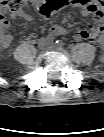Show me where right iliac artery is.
<instances>
[{
    "label": "right iliac artery",
    "mask_w": 104,
    "mask_h": 137,
    "mask_svg": "<svg viewBox=\"0 0 104 137\" xmlns=\"http://www.w3.org/2000/svg\"><path fill=\"white\" fill-rule=\"evenodd\" d=\"M51 40L53 41V40H54V37H51Z\"/></svg>",
    "instance_id": "obj_1"
}]
</instances>
